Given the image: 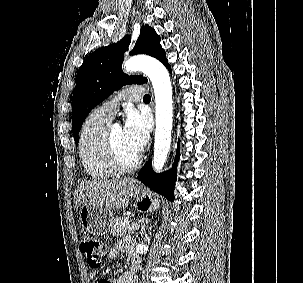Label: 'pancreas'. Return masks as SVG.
I'll list each match as a JSON object with an SVG mask.
<instances>
[{"label": "pancreas", "instance_id": "obj_1", "mask_svg": "<svg viewBox=\"0 0 303 283\" xmlns=\"http://www.w3.org/2000/svg\"><path fill=\"white\" fill-rule=\"evenodd\" d=\"M129 220V217H117L113 220L111 233L115 237L123 238L133 232L131 227L133 224H124Z\"/></svg>", "mask_w": 303, "mask_h": 283}]
</instances>
